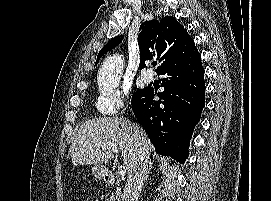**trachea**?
Instances as JSON below:
<instances>
[{
    "label": "trachea",
    "mask_w": 271,
    "mask_h": 201,
    "mask_svg": "<svg viewBox=\"0 0 271 201\" xmlns=\"http://www.w3.org/2000/svg\"><path fill=\"white\" fill-rule=\"evenodd\" d=\"M152 65L155 66V65H156V62H153Z\"/></svg>",
    "instance_id": "1"
}]
</instances>
